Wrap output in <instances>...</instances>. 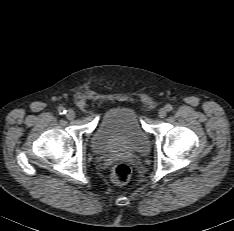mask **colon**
<instances>
[{
  "label": "colon",
  "instance_id": "1",
  "mask_svg": "<svg viewBox=\"0 0 234 231\" xmlns=\"http://www.w3.org/2000/svg\"><path fill=\"white\" fill-rule=\"evenodd\" d=\"M131 177V169L126 164H117L113 167L111 172L112 181L116 185L126 184Z\"/></svg>",
  "mask_w": 234,
  "mask_h": 231
}]
</instances>
